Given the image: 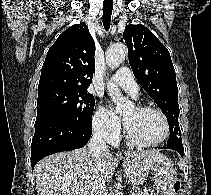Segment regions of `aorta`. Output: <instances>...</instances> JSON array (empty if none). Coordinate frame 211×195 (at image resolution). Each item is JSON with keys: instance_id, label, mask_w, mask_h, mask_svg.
<instances>
[{"instance_id": "762f6f07", "label": "aorta", "mask_w": 211, "mask_h": 195, "mask_svg": "<svg viewBox=\"0 0 211 195\" xmlns=\"http://www.w3.org/2000/svg\"><path fill=\"white\" fill-rule=\"evenodd\" d=\"M127 47L122 44H114L106 52V62L111 69L117 68L127 56ZM107 90L109 96L113 99L116 104V111L120 112L132 106V102L122 96L120 89L115 83L108 82ZM117 195V194H112Z\"/></svg>"}]
</instances>
